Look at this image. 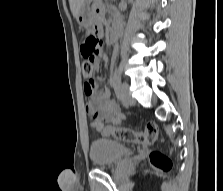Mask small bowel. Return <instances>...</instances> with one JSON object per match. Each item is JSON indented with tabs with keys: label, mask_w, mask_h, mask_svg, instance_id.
<instances>
[{
	"label": "small bowel",
	"mask_w": 223,
	"mask_h": 191,
	"mask_svg": "<svg viewBox=\"0 0 223 191\" xmlns=\"http://www.w3.org/2000/svg\"><path fill=\"white\" fill-rule=\"evenodd\" d=\"M94 34L98 37L103 35L101 24L94 27ZM84 93L89 98L86 103V112L92 116V127L102 131L104 123L118 125L124 120V114L117 102L110 99L108 89L102 92L96 91V83L85 82Z\"/></svg>",
	"instance_id": "c3829d8e"
}]
</instances>
